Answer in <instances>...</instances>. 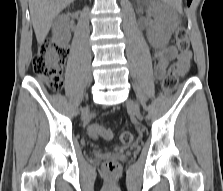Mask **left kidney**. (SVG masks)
Returning <instances> with one entry per match:
<instances>
[{
    "label": "left kidney",
    "instance_id": "left-kidney-1",
    "mask_svg": "<svg viewBox=\"0 0 223 191\" xmlns=\"http://www.w3.org/2000/svg\"><path fill=\"white\" fill-rule=\"evenodd\" d=\"M150 7L155 13V24L148 30L149 37L159 42H167L178 22L177 16L166 6L151 2Z\"/></svg>",
    "mask_w": 223,
    "mask_h": 191
}]
</instances>
